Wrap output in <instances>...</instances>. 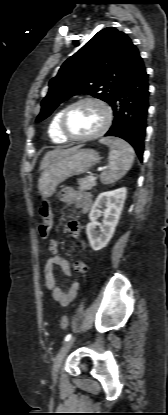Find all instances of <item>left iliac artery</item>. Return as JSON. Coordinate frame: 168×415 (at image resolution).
Here are the masks:
<instances>
[{"label":"left iliac artery","mask_w":168,"mask_h":415,"mask_svg":"<svg viewBox=\"0 0 168 415\" xmlns=\"http://www.w3.org/2000/svg\"><path fill=\"white\" fill-rule=\"evenodd\" d=\"M70 338H71V334H68V335H66V337H65L64 341L66 342V341H68Z\"/></svg>","instance_id":"44dca946"}]
</instances>
